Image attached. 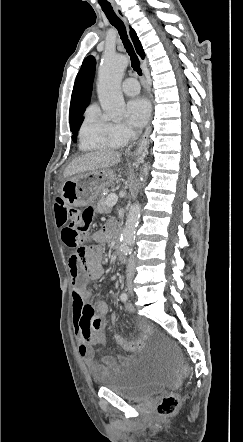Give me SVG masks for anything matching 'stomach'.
<instances>
[{
    "label": "stomach",
    "mask_w": 243,
    "mask_h": 442,
    "mask_svg": "<svg viewBox=\"0 0 243 442\" xmlns=\"http://www.w3.org/2000/svg\"><path fill=\"white\" fill-rule=\"evenodd\" d=\"M111 168L87 172L67 179L61 187V196L72 206H85L92 203L99 193L115 180Z\"/></svg>",
    "instance_id": "1"
}]
</instances>
